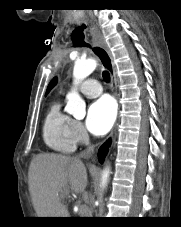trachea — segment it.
Segmentation results:
<instances>
[{
	"label": "trachea",
	"mask_w": 181,
	"mask_h": 227,
	"mask_svg": "<svg viewBox=\"0 0 181 227\" xmlns=\"http://www.w3.org/2000/svg\"><path fill=\"white\" fill-rule=\"evenodd\" d=\"M85 45H87V44H85ZM104 52V51H103ZM102 76H103V79H104V81L105 82H109L110 81V74H109V72L108 71H104L103 73H102Z\"/></svg>",
	"instance_id": "1"
}]
</instances>
